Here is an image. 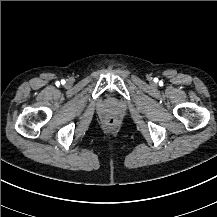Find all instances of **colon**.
Wrapping results in <instances>:
<instances>
[{
  "mask_svg": "<svg viewBox=\"0 0 217 217\" xmlns=\"http://www.w3.org/2000/svg\"><path fill=\"white\" fill-rule=\"evenodd\" d=\"M107 124L110 126V127H113L116 125V120L113 119V118H110L108 121H107Z\"/></svg>",
  "mask_w": 217,
  "mask_h": 217,
  "instance_id": "1",
  "label": "colon"
}]
</instances>
